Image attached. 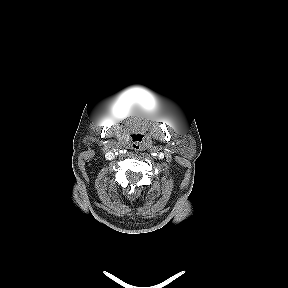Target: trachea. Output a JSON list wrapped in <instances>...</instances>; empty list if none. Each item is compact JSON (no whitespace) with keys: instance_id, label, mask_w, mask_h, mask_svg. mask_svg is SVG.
<instances>
[{"instance_id":"trachea-1","label":"trachea","mask_w":288,"mask_h":288,"mask_svg":"<svg viewBox=\"0 0 288 288\" xmlns=\"http://www.w3.org/2000/svg\"><path fill=\"white\" fill-rule=\"evenodd\" d=\"M139 142H137L135 139H133V147L135 148V149H138L139 148Z\"/></svg>"}]
</instances>
